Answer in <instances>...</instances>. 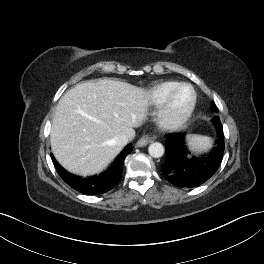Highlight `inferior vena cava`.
I'll use <instances>...</instances> for the list:
<instances>
[{"instance_id":"obj_1","label":"inferior vena cava","mask_w":264,"mask_h":264,"mask_svg":"<svg viewBox=\"0 0 264 264\" xmlns=\"http://www.w3.org/2000/svg\"><path fill=\"white\" fill-rule=\"evenodd\" d=\"M130 137L128 135H120L116 138V142L120 146H125L130 141Z\"/></svg>"}]
</instances>
